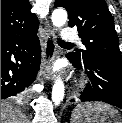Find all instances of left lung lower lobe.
Here are the masks:
<instances>
[{
  "instance_id": "obj_1",
  "label": "left lung lower lobe",
  "mask_w": 122,
  "mask_h": 123,
  "mask_svg": "<svg viewBox=\"0 0 122 123\" xmlns=\"http://www.w3.org/2000/svg\"><path fill=\"white\" fill-rule=\"evenodd\" d=\"M67 58L75 66H83L90 79L81 93V102L102 101L122 109V62L107 59L83 62L71 54Z\"/></svg>"
}]
</instances>
